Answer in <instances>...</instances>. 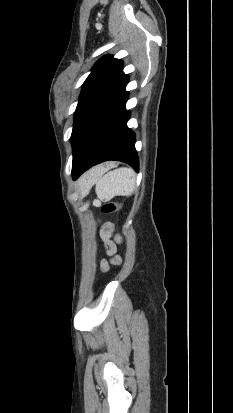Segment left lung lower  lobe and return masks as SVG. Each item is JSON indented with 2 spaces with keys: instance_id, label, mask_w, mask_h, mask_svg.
<instances>
[{
  "instance_id": "obj_1",
  "label": "left lung lower lobe",
  "mask_w": 233,
  "mask_h": 413,
  "mask_svg": "<svg viewBox=\"0 0 233 413\" xmlns=\"http://www.w3.org/2000/svg\"><path fill=\"white\" fill-rule=\"evenodd\" d=\"M127 83L128 79L86 129L73 156L74 180L93 165L107 160L128 163L138 172L135 134L126 126L130 116L125 109L129 95L125 90Z\"/></svg>"
}]
</instances>
